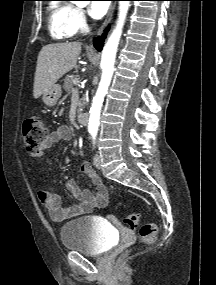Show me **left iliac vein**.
<instances>
[{
  "label": "left iliac vein",
  "instance_id": "left-iliac-vein-1",
  "mask_svg": "<svg viewBox=\"0 0 216 285\" xmlns=\"http://www.w3.org/2000/svg\"><path fill=\"white\" fill-rule=\"evenodd\" d=\"M93 164L95 165V167L97 169H100L101 168V157L98 153H96L94 155V158H93Z\"/></svg>",
  "mask_w": 216,
  "mask_h": 285
}]
</instances>
